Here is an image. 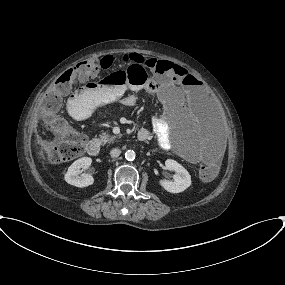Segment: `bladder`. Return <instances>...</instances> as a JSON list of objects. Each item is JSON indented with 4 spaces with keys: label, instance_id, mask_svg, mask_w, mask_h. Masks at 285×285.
Returning <instances> with one entry per match:
<instances>
[{
    "label": "bladder",
    "instance_id": "obj_1",
    "mask_svg": "<svg viewBox=\"0 0 285 285\" xmlns=\"http://www.w3.org/2000/svg\"><path fill=\"white\" fill-rule=\"evenodd\" d=\"M188 151L189 150H188V148L186 146L181 145V146L177 147V152L182 157H187Z\"/></svg>",
    "mask_w": 285,
    "mask_h": 285
}]
</instances>
